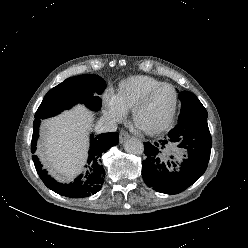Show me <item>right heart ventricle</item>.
<instances>
[{
    "label": "right heart ventricle",
    "mask_w": 248,
    "mask_h": 248,
    "mask_svg": "<svg viewBox=\"0 0 248 248\" xmlns=\"http://www.w3.org/2000/svg\"><path fill=\"white\" fill-rule=\"evenodd\" d=\"M161 83L151 76L133 75L119 82L113 96L118 105L125 112H129L150 89Z\"/></svg>",
    "instance_id": "right-heart-ventricle-1"
}]
</instances>
